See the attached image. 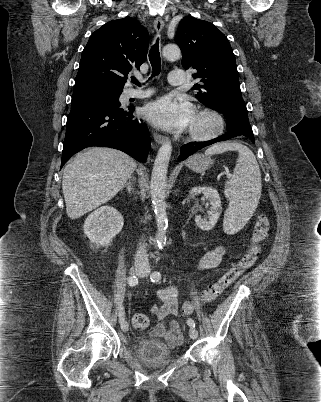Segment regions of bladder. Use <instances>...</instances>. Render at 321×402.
<instances>
[{"mask_svg": "<svg viewBox=\"0 0 321 402\" xmlns=\"http://www.w3.org/2000/svg\"><path fill=\"white\" fill-rule=\"evenodd\" d=\"M134 354L146 364L158 365L172 362L176 352L164 342L155 339L152 331H148L137 341Z\"/></svg>", "mask_w": 321, "mask_h": 402, "instance_id": "obj_1", "label": "bladder"}]
</instances>
